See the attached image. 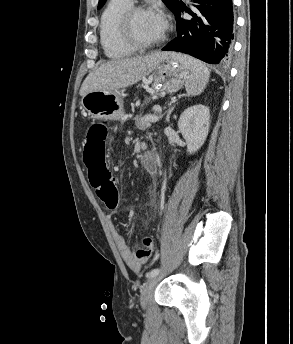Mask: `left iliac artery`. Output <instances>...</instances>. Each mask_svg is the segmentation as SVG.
Wrapping results in <instances>:
<instances>
[{
  "label": "left iliac artery",
  "instance_id": "obj_1",
  "mask_svg": "<svg viewBox=\"0 0 293 344\" xmlns=\"http://www.w3.org/2000/svg\"><path fill=\"white\" fill-rule=\"evenodd\" d=\"M159 269L158 268H156V269H153V270H151L150 272H148L147 274H146V277L147 278H152V277H154V276H157L158 275V273H159Z\"/></svg>",
  "mask_w": 293,
  "mask_h": 344
}]
</instances>
